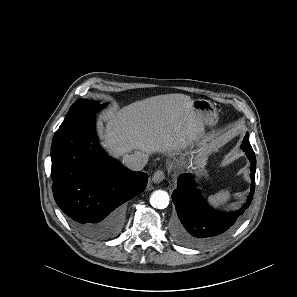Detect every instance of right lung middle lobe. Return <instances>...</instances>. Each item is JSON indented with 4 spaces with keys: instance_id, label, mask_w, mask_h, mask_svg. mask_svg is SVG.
<instances>
[{
    "instance_id": "dd1d6c3e",
    "label": "right lung middle lobe",
    "mask_w": 297,
    "mask_h": 297,
    "mask_svg": "<svg viewBox=\"0 0 297 297\" xmlns=\"http://www.w3.org/2000/svg\"><path fill=\"white\" fill-rule=\"evenodd\" d=\"M106 104L103 106L96 101H89L86 99L77 100L69 109L65 120L60 125V128L67 126L72 122H78L84 118L94 116L99 112Z\"/></svg>"
}]
</instances>
